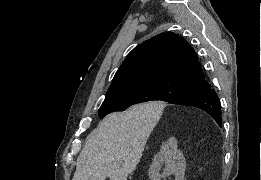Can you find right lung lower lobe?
Here are the masks:
<instances>
[{"label": "right lung lower lobe", "instance_id": "1", "mask_svg": "<svg viewBox=\"0 0 261 180\" xmlns=\"http://www.w3.org/2000/svg\"><path fill=\"white\" fill-rule=\"evenodd\" d=\"M169 102L197 107L209 114L219 126L222 124V112L219 97L206 80L201 83V89L199 91L176 97Z\"/></svg>", "mask_w": 261, "mask_h": 180}]
</instances>
